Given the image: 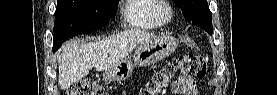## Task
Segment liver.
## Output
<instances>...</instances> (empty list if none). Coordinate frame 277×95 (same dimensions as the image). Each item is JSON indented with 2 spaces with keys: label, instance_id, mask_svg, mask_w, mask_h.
<instances>
[{
  "label": "liver",
  "instance_id": "1",
  "mask_svg": "<svg viewBox=\"0 0 277 95\" xmlns=\"http://www.w3.org/2000/svg\"><path fill=\"white\" fill-rule=\"evenodd\" d=\"M155 35L141 30H127L102 40L68 42L58 55V83L62 90L86 77L89 70L107 71L123 61L143 41Z\"/></svg>",
  "mask_w": 277,
  "mask_h": 95
}]
</instances>
